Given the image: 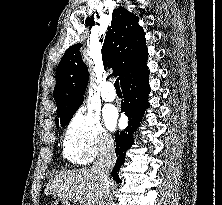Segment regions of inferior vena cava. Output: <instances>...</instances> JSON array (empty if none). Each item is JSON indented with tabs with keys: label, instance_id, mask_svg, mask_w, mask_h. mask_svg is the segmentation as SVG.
<instances>
[{
	"label": "inferior vena cava",
	"instance_id": "obj_1",
	"mask_svg": "<svg viewBox=\"0 0 222 205\" xmlns=\"http://www.w3.org/2000/svg\"><path fill=\"white\" fill-rule=\"evenodd\" d=\"M116 162L114 143L111 139L104 142V147L94 162L93 170L98 175L100 182L105 190V196L109 193V174Z\"/></svg>",
	"mask_w": 222,
	"mask_h": 205
}]
</instances>
